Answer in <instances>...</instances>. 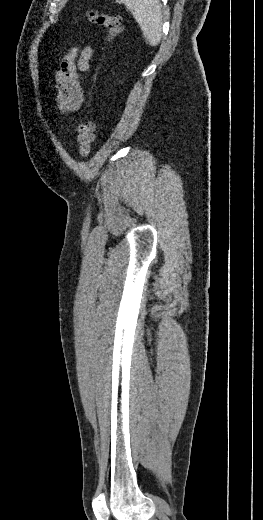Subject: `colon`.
I'll return each mask as SVG.
<instances>
[{
    "label": "colon",
    "instance_id": "1",
    "mask_svg": "<svg viewBox=\"0 0 263 520\" xmlns=\"http://www.w3.org/2000/svg\"><path fill=\"white\" fill-rule=\"evenodd\" d=\"M86 17L90 22L98 24L106 30L108 42H113L123 31V22L119 15L92 8L87 11ZM77 133L78 152L82 157H86L90 153L94 141V123L91 120L79 123Z\"/></svg>",
    "mask_w": 263,
    "mask_h": 520
}]
</instances>
